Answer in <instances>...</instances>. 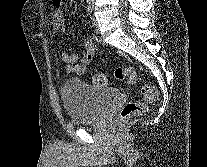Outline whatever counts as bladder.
Instances as JSON below:
<instances>
[{"mask_svg": "<svg viewBox=\"0 0 207 167\" xmlns=\"http://www.w3.org/2000/svg\"><path fill=\"white\" fill-rule=\"evenodd\" d=\"M119 92L90 85L79 79H68L61 89L63 106L70 120L92 123L100 120Z\"/></svg>", "mask_w": 207, "mask_h": 167, "instance_id": "31cf9c89", "label": "bladder"}]
</instances>
